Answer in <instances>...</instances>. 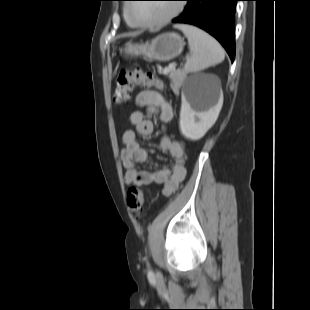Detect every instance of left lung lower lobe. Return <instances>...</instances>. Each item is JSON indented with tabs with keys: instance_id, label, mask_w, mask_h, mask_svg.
Wrapping results in <instances>:
<instances>
[{
	"instance_id": "obj_1",
	"label": "left lung lower lobe",
	"mask_w": 310,
	"mask_h": 310,
	"mask_svg": "<svg viewBox=\"0 0 310 310\" xmlns=\"http://www.w3.org/2000/svg\"><path fill=\"white\" fill-rule=\"evenodd\" d=\"M184 12L173 23L197 26L215 37L227 51L231 61L235 58L234 15L240 0H185Z\"/></svg>"
}]
</instances>
